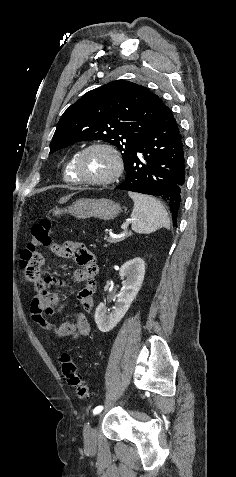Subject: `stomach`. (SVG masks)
Returning <instances> with one entry per match:
<instances>
[{"label": "stomach", "instance_id": "0dacf381", "mask_svg": "<svg viewBox=\"0 0 236 477\" xmlns=\"http://www.w3.org/2000/svg\"><path fill=\"white\" fill-rule=\"evenodd\" d=\"M55 216L68 213L78 219L96 217L101 220H112L121 212L120 204L109 199L81 198L65 209L52 210Z\"/></svg>", "mask_w": 236, "mask_h": 477}]
</instances>
